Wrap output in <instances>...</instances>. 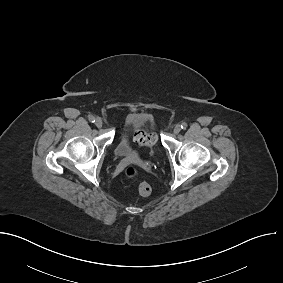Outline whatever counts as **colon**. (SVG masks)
I'll use <instances>...</instances> for the list:
<instances>
[{
    "label": "colon",
    "instance_id": "1",
    "mask_svg": "<svg viewBox=\"0 0 283 283\" xmlns=\"http://www.w3.org/2000/svg\"><path fill=\"white\" fill-rule=\"evenodd\" d=\"M135 140L142 146H149L151 144L150 134L143 130H138L135 133ZM125 173L129 178H136L139 176V170L135 166L127 167ZM138 192L142 196H147L151 192V187L147 182L143 181L138 185Z\"/></svg>",
    "mask_w": 283,
    "mask_h": 283
}]
</instances>
